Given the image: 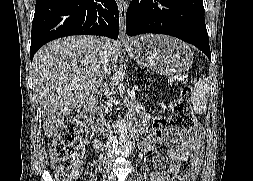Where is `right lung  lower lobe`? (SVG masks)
I'll return each instance as SVG.
<instances>
[{
    "instance_id": "obj_1",
    "label": "right lung lower lobe",
    "mask_w": 253,
    "mask_h": 181,
    "mask_svg": "<svg viewBox=\"0 0 253 181\" xmlns=\"http://www.w3.org/2000/svg\"><path fill=\"white\" fill-rule=\"evenodd\" d=\"M115 0H36L30 58L45 43L79 34L118 38Z\"/></svg>"
}]
</instances>
